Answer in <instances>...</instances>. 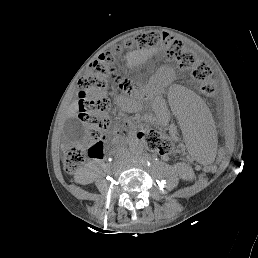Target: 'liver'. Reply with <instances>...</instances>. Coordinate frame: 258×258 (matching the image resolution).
<instances>
[{"instance_id": "6515ba94", "label": "liver", "mask_w": 258, "mask_h": 258, "mask_svg": "<svg viewBox=\"0 0 258 258\" xmlns=\"http://www.w3.org/2000/svg\"><path fill=\"white\" fill-rule=\"evenodd\" d=\"M77 111H78V104L75 103L74 106H73L72 115L76 116L77 115Z\"/></svg>"}]
</instances>
